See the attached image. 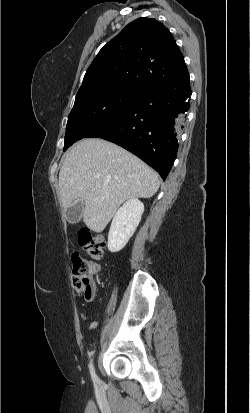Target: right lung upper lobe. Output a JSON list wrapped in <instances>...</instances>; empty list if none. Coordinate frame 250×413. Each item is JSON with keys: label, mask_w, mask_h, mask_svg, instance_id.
<instances>
[{"label": "right lung upper lobe", "mask_w": 250, "mask_h": 413, "mask_svg": "<svg viewBox=\"0 0 250 413\" xmlns=\"http://www.w3.org/2000/svg\"><path fill=\"white\" fill-rule=\"evenodd\" d=\"M189 73L173 36L156 19L129 23L99 51L79 90L103 85L140 91L160 85H182Z\"/></svg>", "instance_id": "cb5924a9"}]
</instances>
